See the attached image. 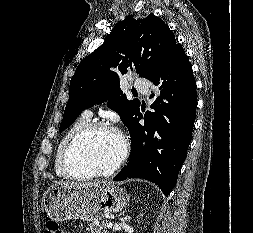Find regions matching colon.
<instances>
[{
    "label": "colon",
    "instance_id": "obj_1",
    "mask_svg": "<svg viewBox=\"0 0 253 233\" xmlns=\"http://www.w3.org/2000/svg\"><path fill=\"white\" fill-rule=\"evenodd\" d=\"M44 233H63V231L57 222L48 221L45 224Z\"/></svg>",
    "mask_w": 253,
    "mask_h": 233
}]
</instances>
